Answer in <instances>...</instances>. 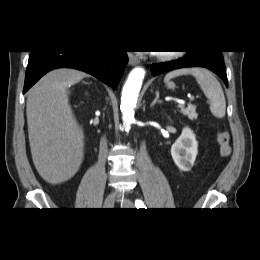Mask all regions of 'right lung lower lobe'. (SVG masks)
Segmentation results:
<instances>
[{
	"label": "right lung lower lobe",
	"instance_id": "1",
	"mask_svg": "<svg viewBox=\"0 0 260 260\" xmlns=\"http://www.w3.org/2000/svg\"><path fill=\"white\" fill-rule=\"evenodd\" d=\"M128 61L126 51H31L23 93L52 69L85 71L116 89Z\"/></svg>",
	"mask_w": 260,
	"mask_h": 260
}]
</instances>
